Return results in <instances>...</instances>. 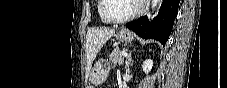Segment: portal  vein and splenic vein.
<instances>
[{
    "label": "portal vein and splenic vein",
    "mask_w": 227,
    "mask_h": 88,
    "mask_svg": "<svg viewBox=\"0 0 227 88\" xmlns=\"http://www.w3.org/2000/svg\"><path fill=\"white\" fill-rule=\"evenodd\" d=\"M127 55H128L127 52H125V51L122 52L123 57H126Z\"/></svg>",
    "instance_id": "1"
}]
</instances>
